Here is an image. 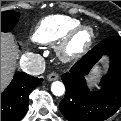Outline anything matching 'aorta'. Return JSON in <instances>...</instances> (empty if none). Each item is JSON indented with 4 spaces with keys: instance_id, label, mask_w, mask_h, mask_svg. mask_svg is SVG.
<instances>
[{
    "instance_id": "1",
    "label": "aorta",
    "mask_w": 121,
    "mask_h": 121,
    "mask_svg": "<svg viewBox=\"0 0 121 121\" xmlns=\"http://www.w3.org/2000/svg\"><path fill=\"white\" fill-rule=\"evenodd\" d=\"M51 91L55 96H62L65 93V86L60 81H55L51 85Z\"/></svg>"
}]
</instances>
